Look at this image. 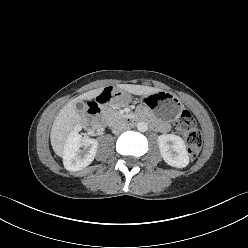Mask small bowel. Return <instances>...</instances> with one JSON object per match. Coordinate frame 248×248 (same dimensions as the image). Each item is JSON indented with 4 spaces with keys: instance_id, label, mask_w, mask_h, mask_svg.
<instances>
[{
    "instance_id": "1",
    "label": "small bowel",
    "mask_w": 248,
    "mask_h": 248,
    "mask_svg": "<svg viewBox=\"0 0 248 248\" xmlns=\"http://www.w3.org/2000/svg\"><path fill=\"white\" fill-rule=\"evenodd\" d=\"M157 130L161 131V132H167L169 130V126L166 124H161L158 123V128Z\"/></svg>"
}]
</instances>
